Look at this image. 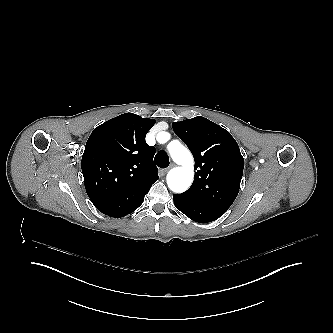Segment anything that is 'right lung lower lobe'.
<instances>
[{
	"label": "right lung lower lobe",
	"instance_id": "right-lung-lower-lobe-1",
	"mask_svg": "<svg viewBox=\"0 0 333 333\" xmlns=\"http://www.w3.org/2000/svg\"><path fill=\"white\" fill-rule=\"evenodd\" d=\"M82 172L92 203L102 213L116 218L135 211L158 180L145 176L118 178L103 159L94 160Z\"/></svg>",
	"mask_w": 333,
	"mask_h": 333
}]
</instances>
